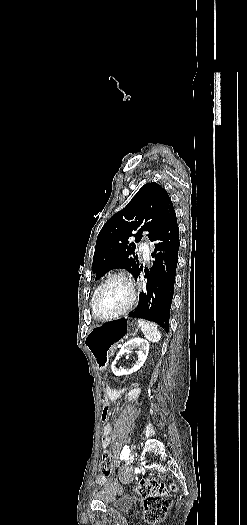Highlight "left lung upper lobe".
Wrapping results in <instances>:
<instances>
[{"label":"left lung upper lobe","mask_w":247,"mask_h":525,"mask_svg":"<svg viewBox=\"0 0 247 525\" xmlns=\"http://www.w3.org/2000/svg\"><path fill=\"white\" fill-rule=\"evenodd\" d=\"M174 212L162 186L156 182L145 184L99 232L92 264L96 279L117 268H125L135 277L142 266L135 255L136 244L130 238L133 236L139 242L145 233L150 239Z\"/></svg>","instance_id":"obj_1"}]
</instances>
